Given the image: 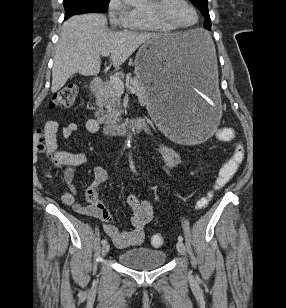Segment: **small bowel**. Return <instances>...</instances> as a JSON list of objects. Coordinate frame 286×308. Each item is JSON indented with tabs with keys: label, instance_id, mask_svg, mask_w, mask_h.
<instances>
[{
	"label": "small bowel",
	"instance_id": "1",
	"mask_svg": "<svg viewBox=\"0 0 286 308\" xmlns=\"http://www.w3.org/2000/svg\"><path fill=\"white\" fill-rule=\"evenodd\" d=\"M79 127V124L76 122L67 123L61 128V136L64 139H71L79 130ZM58 129L57 122L48 121L44 127V136L51 149L54 150L55 159L67 167L64 172V179L69 190L61 196L63 203L79 214L87 215L96 220H102L105 233L111 238L116 247L126 249L141 244L144 238V228L153 218L151 202L148 200L140 201L132 195L127 196L126 202L133 211L131 218L132 228L128 231H120L112 223L113 217L99 197L100 188L108 179L107 171L102 166H95L93 168L94 180L85 192L87 204H80L76 199V188L72 184V180L74 169L87 163V155L80 152L59 150L57 148ZM85 129L89 133L96 134L99 132L100 127L96 120L88 119L85 122ZM159 151L170 168H180L179 156L169 144L160 141ZM42 171L48 177L51 175L45 167L42 168Z\"/></svg>",
	"mask_w": 286,
	"mask_h": 308
}]
</instances>
